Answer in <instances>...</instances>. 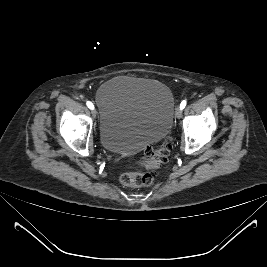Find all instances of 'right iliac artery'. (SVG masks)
<instances>
[{
    "label": "right iliac artery",
    "instance_id": "right-iliac-artery-1",
    "mask_svg": "<svg viewBox=\"0 0 267 267\" xmlns=\"http://www.w3.org/2000/svg\"><path fill=\"white\" fill-rule=\"evenodd\" d=\"M87 106L90 108V109H94V105L91 103V102H87Z\"/></svg>",
    "mask_w": 267,
    "mask_h": 267
}]
</instances>
